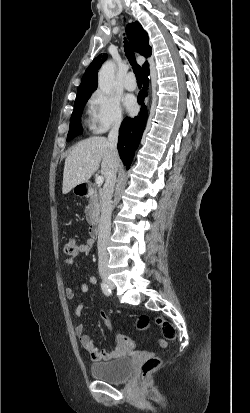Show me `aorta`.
<instances>
[{
  "mask_svg": "<svg viewBox=\"0 0 250 413\" xmlns=\"http://www.w3.org/2000/svg\"><path fill=\"white\" fill-rule=\"evenodd\" d=\"M115 64L112 61H106L98 73V87L108 94L114 85Z\"/></svg>",
  "mask_w": 250,
  "mask_h": 413,
  "instance_id": "762f6f07",
  "label": "aorta"
}]
</instances>
